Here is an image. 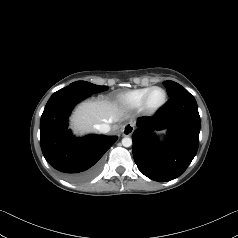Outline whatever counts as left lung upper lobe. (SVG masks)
Wrapping results in <instances>:
<instances>
[{
  "label": "left lung upper lobe",
  "mask_w": 238,
  "mask_h": 238,
  "mask_svg": "<svg viewBox=\"0 0 238 238\" xmlns=\"http://www.w3.org/2000/svg\"><path fill=\"white\" fill-rule=\"evenodd\" d=\"M164 85H165V87L167 89V93L170 97H173L180 91L185 90L180 84H178L174 81H165Z\"/></svg>",
  "instance_id": "obj_1"
}]
</instances>
